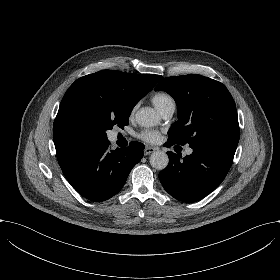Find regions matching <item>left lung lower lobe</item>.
<instances>
[{"label":"left lung lower lobe","mask_w":280,"mask_h":280,"mask_svg":"<svg viewBox=\"0 0 280 280\" xmlns=\"http://www.w3.org/2000/svg\"><path fill=\"white\" fill-rule=\"evenodd\" d=\"M169 146L177 144L168 139ZM191 155L167 152L168 166L159 173L164 189L186 203L198 201L216 189L228 173L236 151L235 146L218 144L190 146Z\"/></svg>","instance_id":"0a47b994"}]
</instances>
